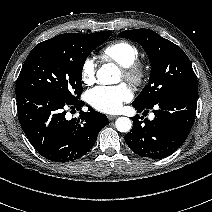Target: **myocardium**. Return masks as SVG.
<instances>
[{
    "label": "myocardium",
    "mask_w": 212,
    "mask_h": 212,
    "mask_svg": "<svg viewBox=\"0 0 212 212\" xmlns=\"http://www.w3.org/2000/svg\"><path fill=\"white\" fill-rule=\"evenodd\" d=\"M123 78L134 86H141L147 79L148 69L145 63L135 60L128 66L121 68Z\"/></svg>",
    "instance_id": "1"
}]
</instances>
